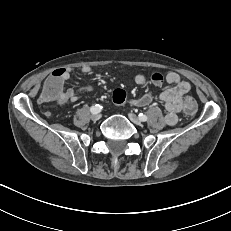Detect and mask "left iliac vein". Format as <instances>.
I'll return each instance as SVG.
<instances>
[{
  "label": "left iliac vein",
  "mask_w": 231,
  "mask_h": 231,
  "mask_svg": "<svg viewBox=\"0 0 231 231\" xmlns=\"http://www.w3.org/2000/svg\"><path fill=\"white\" fill-rule=\"evenodd\" d=\"M128 117L134 124H136V125L141 124V120L136 114L131 112V113L128 114Z\"/></svg>",
  "instance_id": "left-iliac-vein-1"
}]
</instances>
